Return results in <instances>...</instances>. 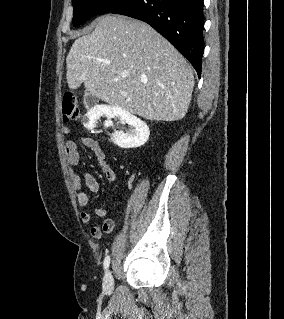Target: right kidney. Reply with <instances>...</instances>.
Segmentation results:
<instances>
[{
	"label": "right kidney",
	"mask_w": 284,
	"mask_h": 319,
	"mask_svg": "<svg viewBox=\"0 0 284 319\" xmlns=\"http://www.w3.org/2000/svg\"><path fill=\"white\" fill-rule=\"evenodd\" d=\"M102 116H106L108 119L105 125H108L112 118H118L121 122L130 126L129 131L126 133L123 131H115L111 134V140L119 147L136 148L147 142L150 135L147 124L120 107L97 105L91 108L84 118L83 124L85 128L89 130L94 129L97 120Z\"/></svg>",
	"instance_id": "ca27d5eb"
}]
</instances>
